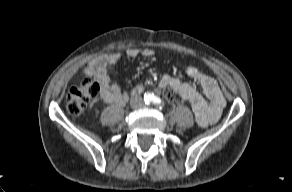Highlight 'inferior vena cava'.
I'll return each instance as SVG.
<instances>
[{
	"instance_id": "602c4592",
	"label": "inferior vena cava",
	"mask_w": 292,
	"mask_h": 192,
	"mask_svg": "<svg viewBox=\"0 0 292 192\" xmlns=\"http://www.w3.org/2000/svg\"><path fill=\"white\" fill-rule=\"evenodd\" d=\"M130 104L132 107H139L143 104V101L140 97H134L131 99Z\"/></svg>"
}]
</instances>
